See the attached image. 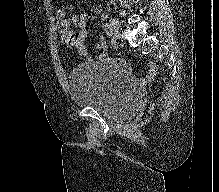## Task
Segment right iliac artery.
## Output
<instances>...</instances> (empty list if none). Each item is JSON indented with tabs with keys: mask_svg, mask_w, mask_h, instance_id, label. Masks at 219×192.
I'll return each mask as SVG.
<instances>
[{
	"mask_svg": "<svg viewBox=\"0 0 219 192\" xmlns=\"http://www.w3.org/2000/svg\"><path fill=\"white\" fill-rule=\"evenodd\" d=\"M102 18L105 19V18H106V15L103 14V15H102ZM102 28H103V30L106 32V34H107L108 36H112V31H111L110 25H109L107 22H103V23H102Z\"/></svg>",
	"mask_w": 219,
	"mask_h": 192,
	"instance_id": "right-iliac-artery-1",
	"label": "right iliac artery"
}]
</instances>
